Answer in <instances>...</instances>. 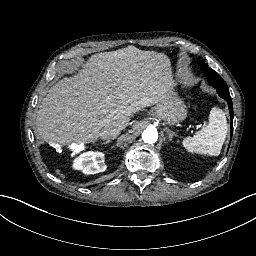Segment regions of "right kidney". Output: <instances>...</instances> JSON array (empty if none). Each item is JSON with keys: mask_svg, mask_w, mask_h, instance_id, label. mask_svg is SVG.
Instances as JSON below:
<instances>
[{"mask_svg": "<svg viewBox=\"0 0 256 256\" xmlns=\"http://www.w3.org/2000/svg\"><path fill=\"white\" fill-rule=\"evenodd\" d=\"M76 169H83L86 174H95L106 170L105 155L103 153H84L74 162Z\"/></svg>", "mask_w": 256, "mask_h": 256, "instance_id": "1", "label": "right kidney"}]
</instances>
